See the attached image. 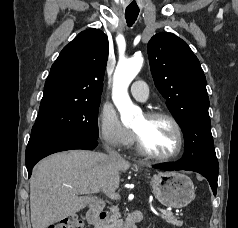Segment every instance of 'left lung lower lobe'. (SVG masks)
<instances>
[{"instance_id":"obj_1","label":"left lung lower lobe","mask_w":238,"mask_h":228,"mask_svg":"<svg viewBox=\"0 0 238 228\" xmlns=\"http://www.w3.org/2000/svg\"><path fill=\"white\" fill-rule=\"evenodd\" d=\"M154 168L166 171L188 170L198 172L209 181L213 193L214 195H216L219 165L212 166L205 164H197V165L184 166L180 164V162L178 161L177 163L154 166Z\"/></svg>"}]
</instances>
